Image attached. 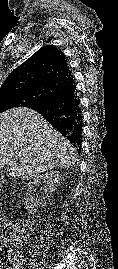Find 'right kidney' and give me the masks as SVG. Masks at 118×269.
Returning <instances> with one entry per match:
<instances>
[{
  "mask_svg": "<svg viewBox=\"0 0 118 269\" xmlns=\"http://www.w3.org/2000/svg\"><path fill=\"white\" fill-rule=\"evenodd\" d=\"M61 180V177L57 171L45 172L44 174L38 176L34 181L28 186V191L24 198L25 206L30 212H36L38 204L35 203V198L32 194L33 186L43 183L44 192L46 195L52 194L57 189V186ZM46 200L44 199V202Z\"/></svg>",
  "mask_w": 118,
  "mask_h": 269,
  "instance_id": "1",
  "label": "right kidney"
}]
</instances>
